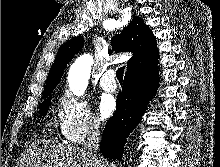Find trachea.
<instances>
[{
  "label": "trachea",
  "mask_w": 220,
  "mask_h": 167,
  "mask_svg": "<svg viewBox=\"0 0 220 167\" xmlns=\"http://www.w3.org/2000/svg\"><path fill=\"white\" fill-rule=\"evenodd\" d=\"M124 70H125V67H120L117 72H116V77L118 79L119 82H122L123 81V74H124Z\"/></svg>",
  "instance_id": "obj_1"
}]
</instances>
